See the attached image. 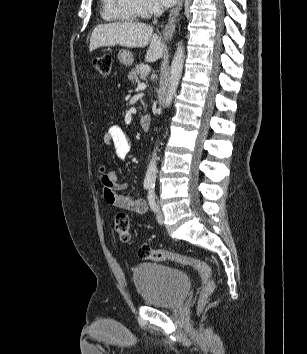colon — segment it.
<instances>
[{
	"label": "colon",
	"instance_id": "obj_1",
	"mask_svg": "<svg viewBox=\"0 0 307 354\" xmlns=\"http://www.w3.org/2000/svg\"><path fill=\"white\" fill-rule=\"evenodd\" d=\"M94 67L102 76L109 75L112 67L111 57L109 55H101L96 57L94 59ZM114 229L121 241L128 242L130 240V223L128 216L125 213L116 214L114 219ZM138 254L142 259L153 261H172L192 268L198 273L202 282L200 301L204 302L212 295L215 288V283L213 280L212 271L205 262L182 254L153 249L146 244L139 248Z\"/></svg>",
	"mask_w": 307,
	"mask_h": 354
}]
</instances>
